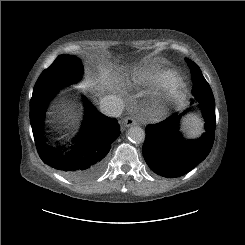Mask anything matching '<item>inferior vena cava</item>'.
<instances>
[{
    "label": "inferior vena cava",
    "instance_id": "1",
    "mask_svg": "<svg viewBox=\"0 0 245 245\" xmlns=\"http://www.w3.org/2000/svg\"><path fill=\"white\" fill-rule=\"evenodd\" d=\"M124 109L121 98L115 95H108L101 99L100 110L103 114L110 117H119Z\"/></svg>",
    "mask_w": 245,
    "mask_h": 245
}]
</instances>
